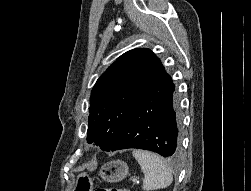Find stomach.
Listing matches in <instances>:
<instances>
[{
  "label": "stomach",
  "instance_id": "obj_1",
  "mask_svg": "<svg viewBox=\"0 0 251 191\" xmlns=\"http://www.w3.org/2000/svg\"><path fill=\"white\" fill-rule=\"evenodd\" d=\"M129 173V167L125 161L114 159L103 163L99 169V175L104 181H121ZM75 191H93V179L87 173H79L76 179Z\"/></svg>",
  "mask_w": 251,
  "mask_h": 191
}]
</instances>
